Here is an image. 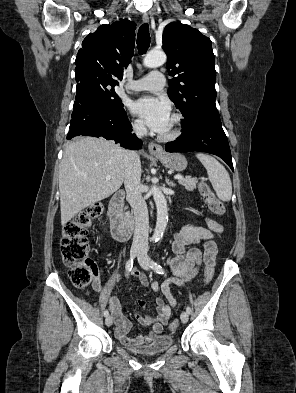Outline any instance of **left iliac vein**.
Returning <instances> with one entry per match:
<instances>
[{
	"label": "left iliac vein",
	"mask_w": 296,
	"mask_h": 393,
	"mask_svg": "<svg viewBox=\"0 0 296 393\" xmlns=\"http://www.w3.org/2000/svg\"><path fill=\"white\" fill-rule=\"evenodd\" d=\"M138 262L143 269L145 270L150 269V258L147 255V251L145 249H142L138 254ZM180 318L182 323H187L189 319V315L187 312L184 311L181 313Z\"/></svg>",
	"instance_id": "obj_1"
}]
</instances>
